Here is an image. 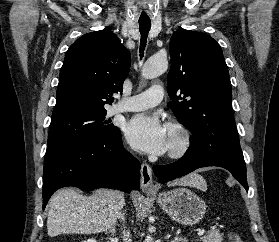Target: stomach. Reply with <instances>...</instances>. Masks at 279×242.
Segmentation results:
<instances>
[{
	"mask_svg": "<svg viewBox=\"0 0 279 242\" xmlns=\"http://www.w3.org/2000/svg\"><path fill=\"white\" fill-rule=\"evenodd\" d=\"M162 210L174 221L182 225L199 223L205 213V202L192 190L180 187L152 196Z\"/></svg>",
	"mask_w": 279,
	"mask_h": 242,
	"instance_id": "stomach-1",
	"label": "stomach"
}]
</instances>
